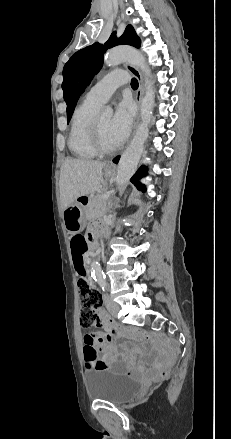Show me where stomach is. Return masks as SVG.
<instances>
[{
  "label": "stomach",
  "mask_w": 231,
  "mask_h": 439,
  "mask_svg": "<svg viewBox=\"0 0 231 439\" xmlns=\"http://www.w3.org/2000/svg\"><path fill=\"white\" fill-rule=\"evenodd\" d=\"M113 174V169L106 166L104 169V175L110 177ZM88 197L80 196L74 203L64 210V225L69 233L75 234L83 227V222L80 213L85 209V204ZM90 199V198H89Z\"/></svg>",
  "instance_id": "0dacf381"
}]
</instances>
